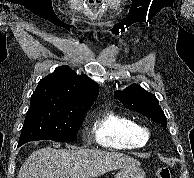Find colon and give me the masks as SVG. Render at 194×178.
Instances as JSON below:
<instances>
[{
	"label": "colon",
	"mask_w": 194,
	"mask_h": 178,
	"mask_svg": "<svg viewBox=\"0 0 194 178\" xmlns=\"http://www.w3.org/2000/svg\"><path fill=\"white\" fill-rule=\"evenodd\" d=\"M156 175L158 178H172L171 169L167 166L158 168Z\"/></svg>",
	"instance_id": "5ec220e1"
}]
</instances>
